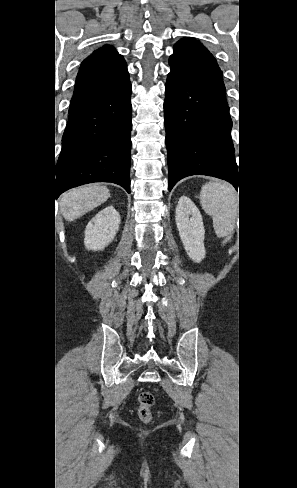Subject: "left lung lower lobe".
Segmentation results:
<instances>
[{"label":"left lung lower lobe","mask_w":297,"mask_h":488,"mask_svg":"<svg viewBox=\"0 0 297 488\" xmlns=\"http://www.w3.org/2000/svg\"><path fill=\"white\" fill-rule=\"evenodd\" d=\"M165 93L169 190L191 175L213 176L237 188L240 171L234 158L227 102L175 73L168 74Z\"/></svg>","instance_id":"left-lung-lower-lobe-1"}]
</instances>
